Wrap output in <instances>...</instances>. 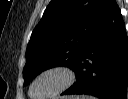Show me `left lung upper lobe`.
<instances>
[{
	"instance_id": "5c2ea615",
	"label": "left lung upper lobe",
	"mask_w": 128,
	"mask_h": 99,
	"mask_svg": "<svg viewBox=\"0 0 128 99\" xmlns=\"http://www.w3.org/2000/svg\"><path fill=\"white\" fill-rule=\"evenodd\" d=\"M107 3L108 0H52L33 30L26 50L24 86L49 68L72 69Z\"/></svg>"
}]
</instances>
